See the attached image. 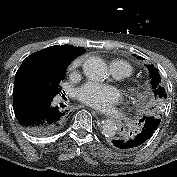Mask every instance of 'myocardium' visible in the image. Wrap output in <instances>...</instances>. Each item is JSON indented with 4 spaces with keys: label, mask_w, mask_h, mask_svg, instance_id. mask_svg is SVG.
Here are the masks:
<instances>
[{
    "label": "myocardium",
    "mask_w": 177,
    "mask_h": 177,
    "mask_svg": "<svg viewBox=\"0 0 177 177\" xmlns=\"http://www.w3.org/2000/svg\"><path fill=\"white\" fill-rule=\"evenodd\" d=\"M126 93L132 98H139L143 95L142 86L135 80H130L124 84Z\"/></svg>",
    "instance_id": "obj_1"
}]
</instances>
